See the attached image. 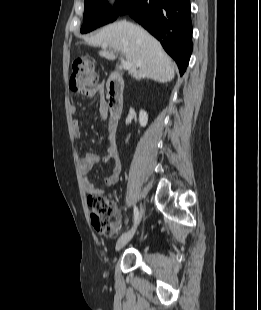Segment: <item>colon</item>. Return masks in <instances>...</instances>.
<instances>
[{"instance_id":"obj_1","label":"colon","mask_w":261,"mask_h":310,"mask_svg":"<svg viewBox=\"0 0 261 310\" xmlns=\"http://www.w3.org/2000/svg\"><path fill=\"white\" fill-rule=\"evenodd\" d=\"M98 80L97 72L89 58L76 57L71 66L70 88L83 91L92 88ZM87 202L91 211V222L95 230L105 236L114 235L119 228V219L109 197L89 195Z\"/></svg>"}]
</instances>
